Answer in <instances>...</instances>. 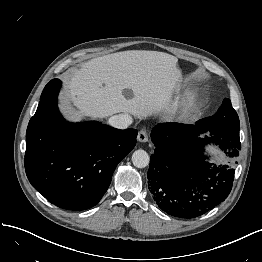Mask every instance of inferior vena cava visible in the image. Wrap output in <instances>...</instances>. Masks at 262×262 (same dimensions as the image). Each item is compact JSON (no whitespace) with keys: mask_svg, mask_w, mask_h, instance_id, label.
<instances>
[{"mask_svg":"<svg viewBox=\"0 0 262 262\" xmlns=\"http://www.w3.org/2000/svg\"><path fill=\"white\" fill-rule=\"evenodd\" d=\"M132 121L133 119L129 114L123 113L110 117L108 122L114 128L126 129Z\"/></svg>","mask_w":262,"mask_h":262,"instance_id":"1","label":"inferior vena cava"}]
</instances>
